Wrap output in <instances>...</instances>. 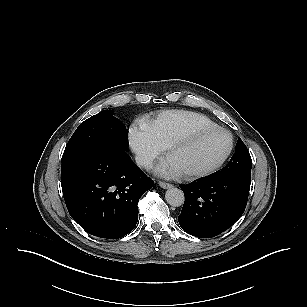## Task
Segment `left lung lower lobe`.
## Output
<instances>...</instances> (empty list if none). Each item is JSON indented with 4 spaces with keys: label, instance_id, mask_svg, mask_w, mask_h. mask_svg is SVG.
<instances>
[{
    "label": "left lung lower lobe",
    "instance_id": "obj_1",
    "mask_svg": "<svg viewBox=\"0 0 307 307\" xmlns=\"http://www.w3.org/2000/svg\"><path fill=\"white\" fill-rule=\"evenodd\" d=\"M251 175L209 176L181 185L185 202L181 228L196 237L211 238L231 227L243 214Z\"/></svg>",
    "mask_w": 307,
    "mask_h": 307
}]
</instances>
